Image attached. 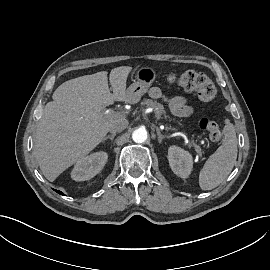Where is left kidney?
I'll list each match as a JSON object with an SVG mask.
<instances>
[{
    "label": "left kidney",
    "mask_w": 270,
    "mask_h": 270,
    "mask_svg": "<svg viewBox=\"0 0 270 270\" xmlns=\"http://www.w3.org/2000/svg\"><path fill=\"white\" fill-rule=\"evenodd\" d=\"M168 161L172 171L181 178H187L193 167L192 156L188 151L171 146L168 149Z\"/></svg>",
    "instance_id": "obj_1"
}]
</instances>
